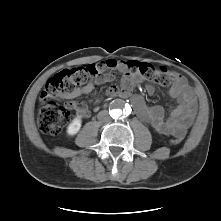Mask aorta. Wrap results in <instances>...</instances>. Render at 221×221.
I'll list each match as a JSON object with an SVG mask.
<instances>
[{
  "mask_svg": "<svg viewBox=\"0 0 221 221\" xmlns=\"http://www.w3.org/2000/svg\"><path fill=\"white\" fill-rule=\"evenodd\" d=\"M111 115L114 119H121L124 115L122 107H119L117 109H113L111 111Z\"/></svg>",
  "mask_w": 221,
  "mask_h": 221,
  "instance_id": "aorta-1",
  "label": "aorta"
}]
</instances>
